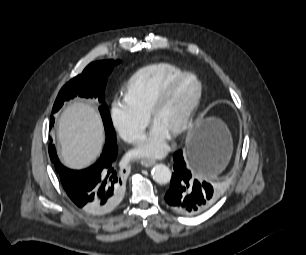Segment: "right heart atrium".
Returning <instances> with one entry per match:
<instances>
[{
    "mask_svg": "<svg viewBox=\"0 0 306 255\" xmlns=\"http://www.w3.org/2000/svg\"><path fill=\"white\" fill-rule=\"evenodd\" d=\"M111 123L127 143L139 142L147 125V117L135 110L125 99H115L110 107Z\"/></svg>",
    "mask_w": 306,
    "mask_h": 255,
    "instance_id": "obj_1",
    "label": "right heart atrium"
}]
</instances>
